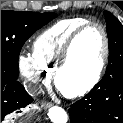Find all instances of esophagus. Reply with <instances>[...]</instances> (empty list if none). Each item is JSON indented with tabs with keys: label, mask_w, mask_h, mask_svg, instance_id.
<instances>
[{
	"label": "esophagus",
	"mask_w": 123,
	"mask_h": 123,
	"mask_svg": "<svg viewBox=\"0 0 123 123\" xmlns=\"http://www.w3.org/2000/svg\"><path fill=\"white\" fill-rule=\"evenodd\" d=\"M52 106V103L51 102H43L42 104H41V107L43 108V109H48V108H50Z\"/></svg>",
	"instance_id": "esophagus-1"
}]
</instances>
